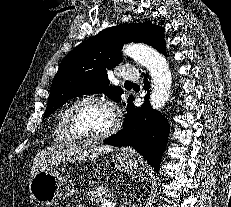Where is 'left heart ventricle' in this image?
Wrapping results in <instances>:
<instances>
[{
    "mask_svg": "<svg viewBox=\"0 0 231 207\" xmlns=\"http://www.w3.org/2000/svg\"><path fill=\"white\" fill-rule=\"evenodd\" d=\"M77 128L85 134L96 135L106 131L113 122L112 112L102 104L83 103L73 115Z\"/></svg>",
    "mask_w": 231,
    "mask_h": 207,
    "instance_id": "obj_1",
    "label": "left heart ventricle"
}]
</instances>
